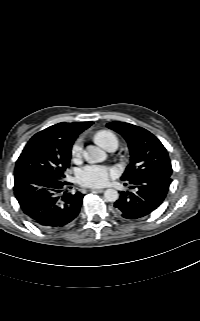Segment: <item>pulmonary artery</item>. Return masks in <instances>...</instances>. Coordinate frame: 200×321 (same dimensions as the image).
Listing matches in <instances>:
<instances>
[{"label": "pulmonary artery", "instance_id": "pulmonary-artery-1", "mask_svg": "<svg viewBox=\"0 0 200 321\" xmlns=\"http://www.w3.org/2000/svg\"><path fill=\"white\" fill-rule=\"evenodd\" d=\"M107 150L113 151V150H115V147H109V148H107Z\"/></svg>", "mask_w": 200, "mask_h": 321}]
</instances>
